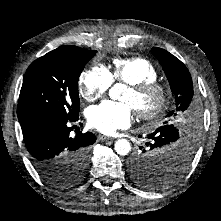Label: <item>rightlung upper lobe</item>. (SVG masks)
<instances>
[{"mask_svg":"<svg viewBox=\"0 0 221 221\" xmlns=\"http://www.w3.org/2000/svg\"><path fill=\"white\" fill-rule=\"evenodd\" d=\"M82 48H79L77 46H72V45H65V46H61L55 50H53L54 52H78L80 51Z\"/></svg>","mask_w":221,"mask_h":221,"instance_id":"obj_1","label":"right lung upper lobe"}]
</instances>
